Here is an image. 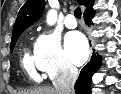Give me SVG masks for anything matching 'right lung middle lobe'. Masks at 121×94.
I'll list each match as a JSON object with an SVG mask.
<instances>
[{
  "instance_id": "dd1d6c3e",
  "label": "right lung middle lobe",
  "mask_w": 121,
  "mask_h": 94,
  "mask_svg": "<svg viewBox=\"0 0 121 94\" xmlns=\"http://www.w3.org/2000/svg\"><path fill=\"white\" fill-rule=\"evenodd\" d=\"M21 33H22V32H20V33H18V34H16V35H13V36H12V40H11V49H13V47H14V45H15V43H16L18 37L21 35Z\"/></svg>"
}]
</instances>
